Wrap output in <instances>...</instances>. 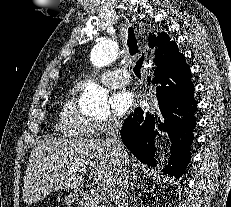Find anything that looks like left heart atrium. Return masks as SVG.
<instances>
[{"mask_svg":"<svg viewBox=\"0 0 231 207\" xmlns=\"http://www.w3.org/2000/svg\"><path fill=\"white\" fill-rule=\"evenodd\" d=\"M134 103V95L131 91L123 89L115 92L111 99L110 105L116 115L125 114Z\"/></svg>","mask_w":231,"mask_h":207,"instance_id":"left-heart-atrium-1","label":"left heart atrium"}]
</instances>
